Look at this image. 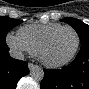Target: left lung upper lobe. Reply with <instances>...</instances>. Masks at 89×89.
Returning a JSON list of instances; mask_svg holds the SVG:
<instances>
[{"instance_id": "left-lung-upper-lobe-1", "label": "left lung upper lobe", "mask_w": 89, "mask_h": 89, "mask_svg": "<svg viewBox=\"0 0 89 89\" xmlns=\"http://www.w3.org/2000/svg\"><path fill=\"white\" fill-rule=\"evenodd\" d=\"M61 21L67 22L76 30L81 40V46L89 44V26L87 24L70 17L64 18Z\"/></svg>"}]
</instances>
